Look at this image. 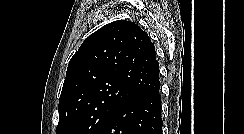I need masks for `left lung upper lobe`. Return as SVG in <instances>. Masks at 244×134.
<instances>
[{
	"label": "left lung upper lobe",
	"mask_w": 244,
	"mask_h": 134,
	"mask_svg": "<svg viewBox=\"0 0 244 134\" xmlns=\"http://www.w3.org/2000/svg\"><path fill=\"white\" fill-rule=\"evenodd\" d=\"M155 56L134 22L115 21L90 35L68 64L56 134H101L125 100L160 87Z\"/></svg>",
	"instance_id": "1"
}]
</instances>
